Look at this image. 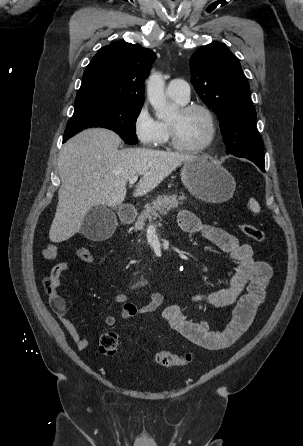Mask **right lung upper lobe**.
<instances>
[{
  "instance_id": "1",
  "label": "right lung upper lobe",
  "mask_w": 303,
  "mask_h": 446,
  "mask_svg": "<svg viewBox=\"0 0 303 446\" xmlns=\"http://www.w3.org/2000/svg\"><path fill=\"white\" fill-rule=\"evenodd\" d=\"M155 59L153 51L138 44L102 47L84 71L75 107L107 102L143 105L144 80Z\"/></svg>"
}]
</instances>
